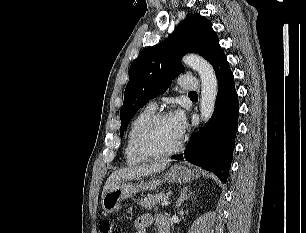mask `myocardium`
Here are the masks:
<instances>
[{"mask_svg":"<svg viewBox=\"0 0 306 233\" xmlns=\"http://www.w3.org/2000/svg\"><path fill=\"white\" fill-rule=\"evenodd\" d=\"M169 118L167 113H155L151 115L138 129L134 138V147L137 152L142 157L145 158H162L169 157L177 154L183 146L182 139L179 140L177 145L168 151H159L152 148L148 144V136L152 128L161 120Z\"/></svg>","mask_w":306,"mask_h":233,"instance_id":"obj_1","label":"myocardium"}]
</instances>
